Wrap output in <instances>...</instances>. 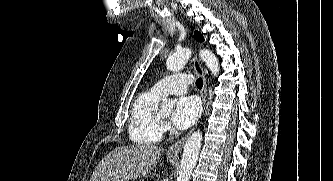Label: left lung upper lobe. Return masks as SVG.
<instances>
[{
    "label": "left lung upper lobe",
    "mask_w": 333,
    "mask_h": 181,
    "mask_svg": "<svg viewBox=\"0 0 333 181\" xmlns=\"http://www.w3.org/2000/svg\"><path fill=\"white\" fill-rule=\"evenodd\" d=\"M194 38L199 41V42H202L204 39H203V36L199 33V32H195L194 34Z\"/></svg>",
    "instance_id": "1"
}]
</instances>
